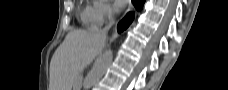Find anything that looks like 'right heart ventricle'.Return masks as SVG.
Returning a JSON list of instances; mask_svg holds the SVG:
<instances>
[{
  "instance_id": "obj_1",
  "label": "right heart ventricle",
  "mask_w": 228,
  "mask_h": 90,
  "mask_svg": "<svg viewBox=\"0 0 228 90\" xmlns=\"http://www.w3.org/2000/svg\"><path fill=\"white\" fill-rule=\"evenodd\" d=\"M82 21L85 25L92 26L94 25V20L92 16V8L91 7H85L81 13Z\"/></svg>"
}]
</instances>
